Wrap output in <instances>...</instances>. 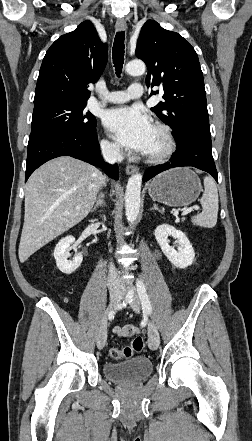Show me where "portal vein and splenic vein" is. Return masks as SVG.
Masks as SVG:
<instances>
[{
	"instance_id": "portal-vein-and-splenic-vein-1",
	"label": "portal vein and splenic vein",
	"mask_w": 252,
	"mask_h": 441,
	"mask_svg": "<svg viewBox=\"0 0 252 441\" xmlns=\"http://www.w3.org/2000/svg\"><path fill=\"white\" fill-rule=\"evenodd\" d=\"M193 210H199V207L195 206V207L187 208L186 210L183 211L182 216L188 215Z\"/></svg>"
}]
</instances>
